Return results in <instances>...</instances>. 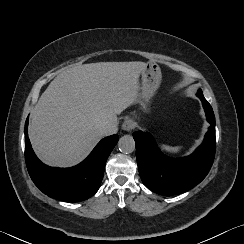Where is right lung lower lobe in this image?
Masks as SVG:
<instances>
[{
  "mask_svg": "<svg viewBox=\"0 0 244 244\" xmlns=\"http://www.w3.org/2000/svg\"><path fill=\"white\" fill-rule=\"evenodd\" d=\"M28 118L25 123V160L34 184L51 198L79 202L94 195L102 182L108 156L119 137L102 139L90 155L71 168H55L43 164L35 155L28 138Z\"/></svg>",
  "mask_w": 244,
  "mask_h": 244,
  "instance_id": "obj_1",
  "label": "right lung lower lobe"
}]
</instances>
